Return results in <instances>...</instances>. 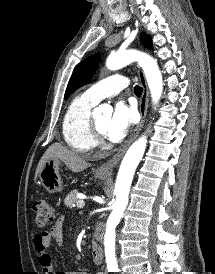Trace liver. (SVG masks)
<instances>
[{"instance_id": "obj_1", "label": "liver", "mask_w": 215, "mask_h": 274, "mask_svg": "<svg viewBox=\"0 0 215 274\" xmlns=\"http://www.w3.org/2000/svg\"><path fill=\"white\" fill-rule=\"evenodd\" d=\"M59 159L65 163V165L72 171V172H81L84 169L88 168L90 164L80 155L77 153L68 150L67 148L63 147L62 145L55 143L52 144L44 153L42 158L40 159L36 172H35V179L39 175L42 167L49 159Z\"/></svg>"}]
</instances>
